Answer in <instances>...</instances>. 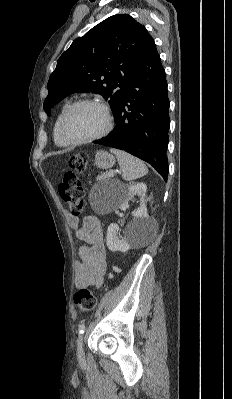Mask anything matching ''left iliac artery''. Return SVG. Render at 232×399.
I'll return each instance as SVG.
<instances>
[{
    "instance_id": "obj_1",
    "label": "left iliac artery",
    "mask_w": 232,
    "mask_h": 399,
    "mask_svg": "<svg viewBox=\"0 0 232 399\" xmlns=\"http://www.w3.org/2000/svg\"><path fill=\"white\" fill-rule=\"evenodd\" d=\"M85 329H86L85 324L79 325V328H78L79 335H82L85 332Z\"/></svg>"
}]
</instances>
